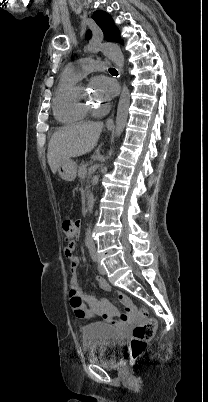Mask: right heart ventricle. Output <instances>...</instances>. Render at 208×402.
I'll return each mask as SVG.
<instances>
[{
  "label": "right heart ventricle",
  "mask_w": 208,
  "mask_h": 402,
  "mask_svg": "<svg viewBox=\"0 0 208 402\" xmlns=\"http://www.w3.org/2000/svg\"><path fill=\"white\" fill-rule=\"evenodd\" d=\"M78 80L63 73L53 99L55 119L64 126H81L87 123L88 113L75 101Z\"/></svg>",
  "instance_id": "obj_1"
}]
</instances>
